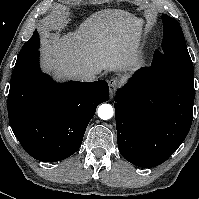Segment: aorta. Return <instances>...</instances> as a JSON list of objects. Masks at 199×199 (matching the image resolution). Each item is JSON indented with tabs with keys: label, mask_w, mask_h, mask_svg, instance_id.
Listing matches in <instances>:
<instances>
[{
	"label": "aorta",
	"mask_w": 199,
	"mask_h": 199,
	"mask_svg": "<svg viewBox=\"0 0 199 199\" xmlns=\"http://www.w3.org/2000/svg\"><path fill=\"white\" fill-rule=\"evenodd\" d=\"M113 107L110 104H101L98 108V116L103 120H108L113 116Z\"/></svg>",
	"instance_id": "1"
}]
</instances>
